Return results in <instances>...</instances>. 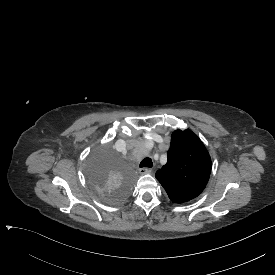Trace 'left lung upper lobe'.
Returning <instances> with one entry per match:
<instances>
[{"label": "left lung upper lobe", "mask_w": 275, "mask_h": 275, "mask_svg": "<svg viewBox=\"0 0 275 275\" xmlns=\"http://www.w3.org/2000/svg\"><path fill=\"white\" fill-rule=\"evenodd\" d=\"M167 154V163L155 176L169 198L184 203L197 197L211 172V159L201 140L190 130H176Z\"/></svg>", "instance_id": "left-lung-upper-lobe-1"}]
</instances>
